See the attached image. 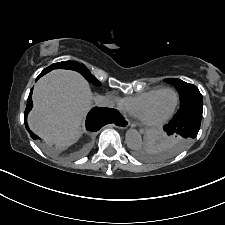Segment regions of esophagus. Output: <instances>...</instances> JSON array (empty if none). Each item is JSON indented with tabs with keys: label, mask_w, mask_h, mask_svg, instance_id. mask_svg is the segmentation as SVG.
<instances>
[{
	"label": "esophagus",
	"mask_w": 225,
	"mask_h": 225,
	"mask_svg": "<svg viewBox=\"0 0 225 225\" xmlns=\"http://www.w3.org/2000/svg\"><path fill=\"white\" fill-rule=\"evenodd\" d=\"M129 125H130L129 119L125 115H123L122 116V121H121V123L118 124V127L121 128V129H125Z\"/></svg>",
	"instance_id": "esophagus-1"
}]
</instances>
